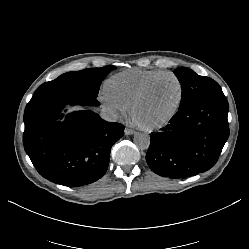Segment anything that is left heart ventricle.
<instances>
[{
    "label": "left heart ventricle",
    "mask_w": 249,
    "mask_h": 249,
    "mask_svg": "<svg viewBox=\"0 0 249 249\" xmlns=\"http://www.w3.org/2000/svg\"><path fill=\"white\" fill-rule=\"evenodd\" d=\"M179 98V85L172 77L159 79L137 104L133 116L141 124H152L165 119L175 108Z\"/></svg>",
    "instance_id": "1"
}]
</instances>
